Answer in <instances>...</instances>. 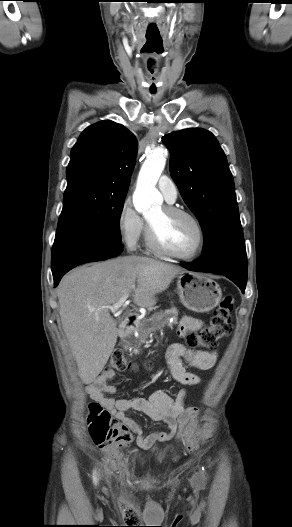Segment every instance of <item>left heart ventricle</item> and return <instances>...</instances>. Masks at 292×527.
<instances>
[{
	"label": "left heart ventricle",
	"instance_id": "b2bd125f",
	"mask_svg": "<svg viewBox=\"0 0 292 527\" xmlns=\"http://www.w3.org/2000/svg\"><path fill=\"white\" fill-rule=\"evenodd\" d=\"M147 220L153 226L161 244L167 249L180 254H187L194 249L198 233L189 218L167 214L163 207H160L150 213Z\"/></svg>",
	"mask_w": 292,
	"mask_h": 527
}]
</instances>
